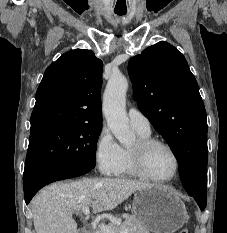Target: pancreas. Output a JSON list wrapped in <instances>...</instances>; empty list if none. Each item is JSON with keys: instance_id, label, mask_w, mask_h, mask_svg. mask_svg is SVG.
Returning <instances> with one entry per match:
<instances>
[{"instance_id": "cf45deb5", "label": "pancreas", "mask_w": 227, "mask_h": 233, "mask_svg": "<svg viewBox=\"0 0 227 233\" xmlns=\"http://www.w3.org/2000/svg\"><path fill=\"white\" fill-rule=\"evenodd\" d=\"M109 226L115 233H121L123 229H127V233H149L144 224L134 215H127L125 221L120 226L114 224H110Z\"/></svg>"}]
</instances>
